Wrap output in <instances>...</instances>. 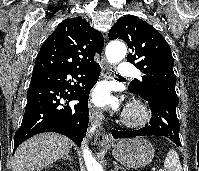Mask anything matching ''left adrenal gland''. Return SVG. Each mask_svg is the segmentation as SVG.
I'll return each mask as SVG.
<instances>
[{"label": "left adrenal gland", "mask_w": 199, "mask_h": 171, "mask_svg": "<svg viewBox=\"0 0 199 171\" xmlns=\"http://www.w3.org/2000/svg\"><path fill=\"white\" fill-rule=\"evenodd\" d=\"M113 164H114V169H113V171H118L119 169H123L122 167H120L118 164H117V162H113Z\"/></svg>", "instance_id": "a2214340"}]
</instances>
